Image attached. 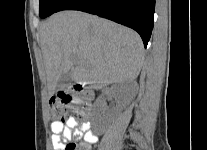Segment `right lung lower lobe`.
Instances as JSON below:
<instances>
[{"mask_svg":"<svg viewBox=\"0 0 207 150\" xmlns=\"http://www.w3.org/2000/svg\"><path fill=\"white\" fill-rule=\"evenodd\" d=\"M155 0H65L56 10H80L136 30L145 45L153 29Z\"/></svg>","mask_w":207,"mask_h":150,"instance_id":"right-lung-lower-lobe-1","label":"right lung lower lobe"}]
</instances>
